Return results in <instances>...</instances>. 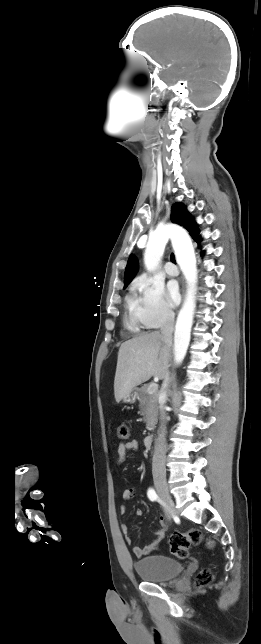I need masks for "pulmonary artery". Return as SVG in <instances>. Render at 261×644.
I'll use <instances>...</instances> for the list:
<instances>
[{
    "label": "pulmonary artery",
    "instance_id": "obj_1",
    "mask_svg": "<svg viewBox=\"0 0 261 644\" xmlns=\"http://www.w3.org/2000/svg\"><path fill=\"white\" fill-rule=\"evenodd\" d=\"M165 271L170 276H177L179 273L177 267L171 262L165 265Z\"/></svg>",
    "mask_w": 261,
    "mask_h": 644
}]
</instances>
